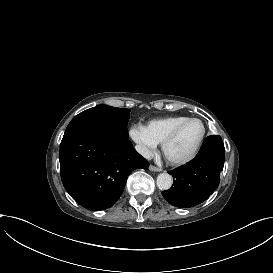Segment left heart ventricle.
<instances>
[{
  "label": "left heart ventricle",
  "instance_id": "obj_1",
  "mask_svg": "<svg viewBox=\"0 0 273 273\" xmlns=\"http://www.w3.org/2000/svg\"><path fill=\"white\" fill-rule=\"evenodd\" d=\"M203 134V124L194 120L185 124L167 146L166 155L171 159L186 157L195 148Z\"/></svg>",
  "mask_w": 273,
  "mask_h": 273
}]
</instances>
